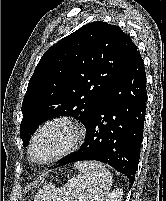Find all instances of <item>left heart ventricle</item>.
<instances>
[{
  "instance_id": "b2bd125f",
  "label": "left heart ventricle",
  "mask_w": 166,
  "mask_h": 201,
  "mask_svg": "<svg viewBox=\"0 0 166 201\" xmlns=\"http://www.w3.org/2000/svg\"><path fill=\"white\" fill-rule=\"evenodd\" d=\"M72 139V131L64 125H52L46 128L38 137L34 147V158L45 160L65 150Z\"/></svg>"
}]
</instances>
